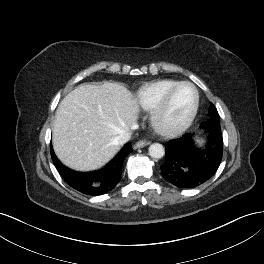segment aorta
I'll return each mask as SVG.
<instances>
[{"mask_svg": "<svg viewBox=\"0 0 264 264\" xmlns=\"http://www.w3.org/2000/svg\"><path fill=\"white\" fill-rule=\"evenodd\" d=\"M149 155L154 159H160L165 155V149L162 144L153 143L149 147Z\"/></svg>", "mask_w": 264, "mask_h": 264, "instance_id": "aorta-1", "label": "aorta"}]
</instances>
